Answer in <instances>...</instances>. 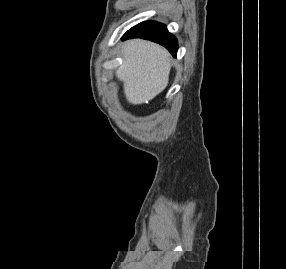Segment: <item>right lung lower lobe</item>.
<instances>
[{
  "label": "right lung lower lobe",
  "mask_w": 286,
  "mask_h": 269,
  "mask_svg": "<svg viewBox=\"0 0 286 269\" xmlns=\"http://www.w3.org/2000/svg\"><path fill=\"white\" fill-rule=\"evenodd\" d=\"M130 38H143L154 41L166 47L173 56H176L177 40L163 24L153 21L142 22L128 30L122 40Z\"/></svg>",
  "instance_id": "98d812e1"
}]
</instances>
